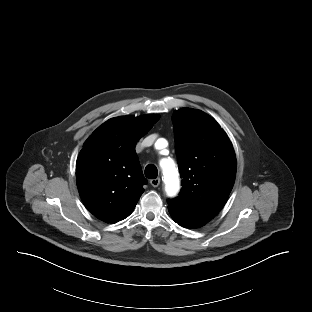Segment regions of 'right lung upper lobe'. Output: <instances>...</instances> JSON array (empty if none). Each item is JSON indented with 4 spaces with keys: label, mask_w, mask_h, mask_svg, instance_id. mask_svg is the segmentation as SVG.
<instances>
[{
    "label": "right lung upper lobe",
    "mask_w": 312,
    "mask_h": 312,
    "mask_svg": "<svg viewBox=\"0 0 312 312\" xmlns=\"http://www.w3.org/2000/svg\"><path fill=\"white\" fill-rule=\"evenodd\" d=\"M159 120L157 115L112 118L86 140L76 162L84 205L102 221L116 223L131 214L147 183L135 146Z\"/></svg>",
    "instance_id": "right-lung-upper-lobe-1"
}]
</instances>
